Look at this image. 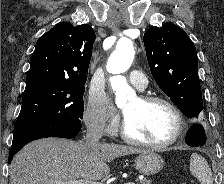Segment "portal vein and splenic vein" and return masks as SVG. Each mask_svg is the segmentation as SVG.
I'll list each match as a JSON object with an SVG mask.
<instances>
[{
	"label": "portal vein and splenic vein",
	"instance_id": "1",
	"mask_svg": "<svg viewBox=\"0 0 224 184\" xmlns=\"http://www.w3.org/2000/svg\"><path fill=\"white\" fill-rule=\"evenodd\" d=\"M56 184H99L97 182L86 181V180H74V181H67V182H57ZM124 184H135L133 182H127Z\"/></svg>",
	"mask_w": 224,
	"mask_h": 184
}]
</instances>
